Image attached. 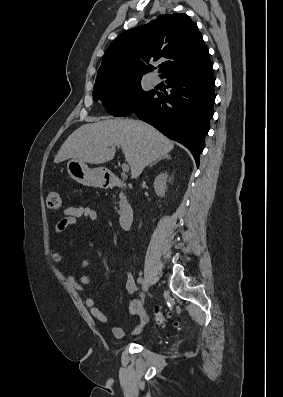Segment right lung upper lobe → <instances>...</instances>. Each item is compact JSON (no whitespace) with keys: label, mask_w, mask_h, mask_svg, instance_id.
I'll use <instances>...</instances> for the list:
<instances>
[{"label":"right lung upper lobe","mask_w":283,"mask_h":397,"mask_svg":"<svg viewBox=\"0 0 283 397\" xmlns=\"http://www.w3.org/2000/svg\"><path fill=\"white\" fill-rule=\"evenodd\" d=\"M209 58L197 24L186 14L161 15L156 20L121 33L110 44L98 70L97 81L142 77L165 60L162 77Z\"/></svg>","instance_id":"1"}]
</instances>
